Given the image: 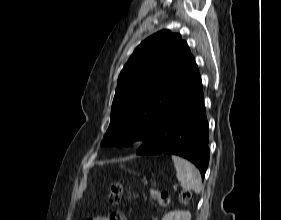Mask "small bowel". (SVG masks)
Wrapping results in <instances>:
<instances>
[{"mask_svg":"<svg viewBox=\"0 0 281 220\" xmlns=\"http://www.w3.org/2000/svg\"><path fill=\"white\" fill-rule=\"evenodd\" d=\"M93 220H108V217L98 216V217L94 218Z\"/></svg>","mask_w":281,"mask_h":220,"instance_id":"small-bowel-1","label":"small bowel"}]
</instances>
